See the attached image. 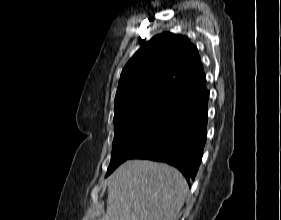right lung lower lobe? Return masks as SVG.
<instances>
[{
  "mask_svg": "<svg viewBox=\"0 0 281 220\" xmlns=\"http://www.w3.org/2000/svg\"><path fill=\"white\" fill-rule=\"evenodd\" d=\"M209 91L175 110L165 124L131 157L166 162L178 168L190 186L206 141Z\"/></svg>",
  "mask_w": 281,
  "mask_h": 220,
  "instance_id": "obj_1",
  "label": "right lung lower lobe"
}]
</instances>
